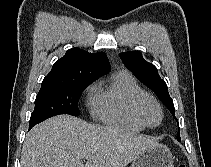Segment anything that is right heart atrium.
Instances as JSON below:
<instances>
[{
	"label": "right heart atrium",
	"instance_id": "d8ad5b80",
	"mask_svg": "<svg viewBox=\"0 0 211 167\" xmlns=\"http://www.w3.org/2000/svg\"><path fill=\"white\" fill-rule=\"evenodd\" d=\"M95 89H96V87H95V86H91V87H90V91H91V92H94V91H95Z\"/></svg>",
	"mask_w": 211,
	"mask_h": 167
}]
</instances>
